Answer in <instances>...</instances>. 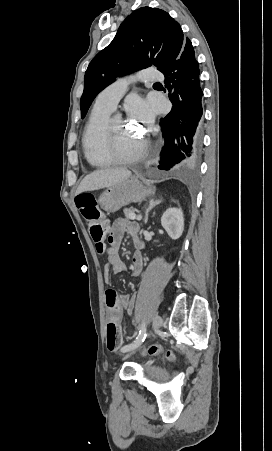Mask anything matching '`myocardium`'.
<instances>
[{
    "instance_id": "myocardium-1",
    "label": "myocardium",
    "mask_w": 272,
    "mask_h": 451,
    "mask_svg": "<svg viewBox=\"0 0 272 451\" xmlns=\"http://www.w3.org/2000/svg\"><path fill=\"white\" fill-rule=\"evenodd\" d=\"M115 118H108L103 126L101 132L102 140L107 143V145L111 148V150L117 145L115 144L114 135L112 131V122ZM139 153V147H134L132 150H129L127 154L124 156H120L117 160L120 162L130 161L135 158Z\"/></svg>"
}]
</instances>
